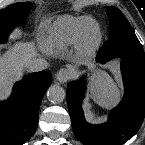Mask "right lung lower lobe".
<instances>
[{
    "label": "right lung lower lobe",
    "instance_id": "obj_1",
    "mask_svg": "<svg viewBox=\"0 0 145 145\" xmlns=\"http://www.w3.org/2000/svg\"><path fill=\"white\" fill-rule=\"evenodd\" d=\"M51 72L40 71L27 75L14 85L11 97L0 102V145H22L35 133L39 108Z\"/></svg>",
    "mask_w": 145,
    "mask_h": 145
}]
</instances>
